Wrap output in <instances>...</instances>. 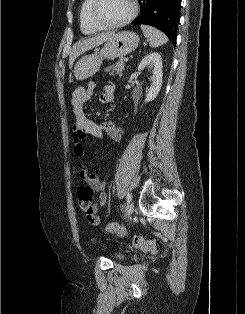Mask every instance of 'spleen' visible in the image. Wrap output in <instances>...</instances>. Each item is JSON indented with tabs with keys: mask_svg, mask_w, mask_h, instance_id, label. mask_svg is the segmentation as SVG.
Instances as JSON below:
<instances>
[{
	"mask_svg": "<svg viewBox=\"0 0 245 314\" xmlns=\"http://www.w3.org/2000/svg\"><path fill=\"white\" fill-rule=\"evenodd\" d=\"M141 30L143 31L144 36L148 39L152 48L159 47L168 41V38L162 31L152 26L142 24Z\"/></svg>",
	"mask_w": 245,
	"mask_h": 314,
	"instance_id": "1",
	"label": "spleen"
}]
</instances>
